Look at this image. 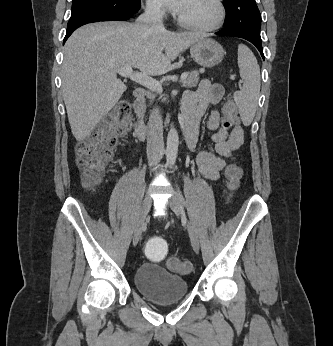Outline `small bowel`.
<instances>
[{
    "label": "small bowel",
    "mask_w": 333,
    "mask_h": 346,
    "mask_svg": "<svg viewBox=\"0 0 333 346\" xmlns=\"http://www.w3.org/2000/svg\"><path fill=\"white\" fill-rule=\"evenodd\" d=\"M224 89L220 84L202 80L196 90L187 91L183 96L182 119L189 124L190 133L186 137V144L192 150L198 140L199 127L207 110L220 102ZM207 128L211 131L210 140L213 147L200 151L197 155V164L201 174L210 180H217L224 169L228 158L243 143V128L236 124L229 130L221 120V112L212 109L207 118Z\"/></svg>",
    "instance_id": "1"
}]
</instances>
